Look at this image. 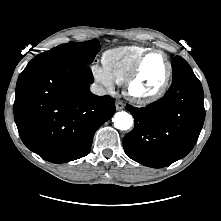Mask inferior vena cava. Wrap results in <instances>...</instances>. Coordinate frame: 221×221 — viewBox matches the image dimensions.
<instances>
[{
	"mask_svg": "<svg viewBox=\"0 0 221 221\" xmlns=\"http://www.w3.org/2000/svg\"><path fill=\"white\" fill-rule=\"evenodd\" d=\"M90 90L93 94L99 95V96L106 95L107 93L103 86L96 84V83L91 84Z\"/></svg>",
	"mask_w": 221,
	"mask_h": 221,
	"instance_id": "inferior-vena-cava-1",
	"label": "inferior vena cava"
}]
</instances>
